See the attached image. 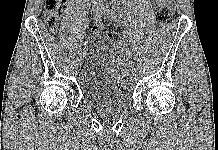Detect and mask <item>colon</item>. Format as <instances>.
<instances>
[{
	"label": "colon",
	"mask_w": 218,
	"mask_h": 150,
	"mask_svg": "<svg viewBox=\"0 0 218 150\" xmlns=\"http://www.w3.org/2000/svg\"><path fill=\"white\" fill-rule=\"evenodd\" d=\"M67 0H46L44 6V20L50 32L56 33L59 29L62 10ZM171 11L167 7H161L156 13V20L159 25L169 22ZM95 34L105 37L108 40L113 38L112 34L103 25L93 27Z\"/></svg>",
	"instance_id": "5ec220e1"
}]
</instances>
